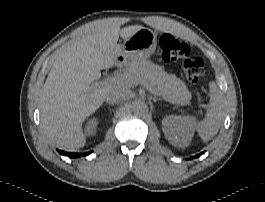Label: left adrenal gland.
Listing matches in <instances>:
<instances>
[{"instance_id":"a2214340","label":"left adrenal gland","mask_w":265,"mask_h":202,"mask_svg":"<svg viewBox=\"0 0 265 202\" xmlns=\"http://www.w3.org/2000/svg\"><path fill=\"white\" fill-rule=\"evenodd\" d=\"M152 100H153L154 103H156L158 100H161V98L154 97V98H152Z\"/></svg>"}]
</instances>
